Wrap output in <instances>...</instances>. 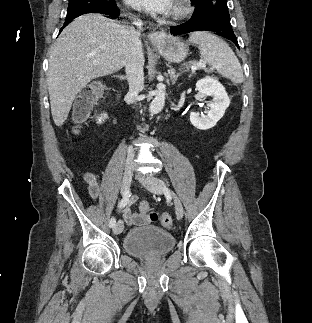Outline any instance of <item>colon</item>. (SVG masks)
<instances>
[{"instance_id":"1","label":"colon","mask_w":312,"mask_h":323,"mask_svg":"<svg viewBox=\"0 0 312 323\" xmlns=\"http://www.w3.org/2000/svg\"><path fill=\"white\" fill-rule=\"evenodd\" d=\"M85 95L90 96L92 101L94 98L102 96L99 88L88 90L87 93H85ZM139 211L142 213L150 212L151 220L153 222L157 221V220H154V217H156L158 213L151 211L150 205L147 201H141L139 203ZM162 220H163V223H161V225L165 229L171 230L173 228V220L171 217H169L167 215H162Z\"/></svg>"}]
</instances>
